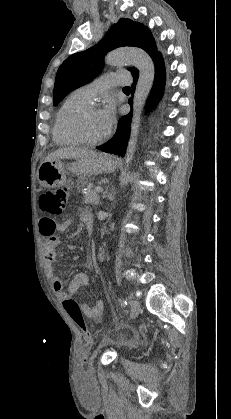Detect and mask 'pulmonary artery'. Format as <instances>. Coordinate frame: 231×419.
<instances>
[{
    "label": "pulmonary artery",
    "instance_id": "1",
    "mask_svg": "<svg viewBox=\"0 0 231 419\" xmlns=\"http://www.w3.org/2000/svg\"><path fill=\"white\" fill-rule=\"evenodd\" d=\"M131 78L128 74L112 72L104 74L94 81L83 85L78 90L88 100L93 99L97 94L104 93L117 85H128Z\"/></svg>",
    "mask_w": 231,
    "mask_h": 419
}]
</instances>
